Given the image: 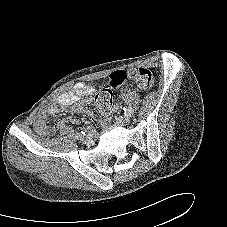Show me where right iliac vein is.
Here are the masks:
<instances>
[{
	"instance_id": "right-iliac-vein-1",
	"label": "right iliac vein",
	"mask_w": 227,
	"mask_h": 227,
	"mask_svg": "<svg viewBox=\"0 0 227 227\" xmlns=\"http://www.w3.org/2000/svg\"><path fill=\"white\" fill-rule=\"evenodd\" d=\"M80 141H82V142H89L90 141V137H85V136H82L81 138H80Z\"/></svg>"
}]
</instances>
